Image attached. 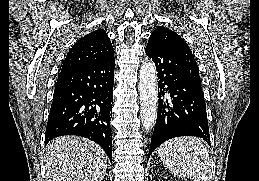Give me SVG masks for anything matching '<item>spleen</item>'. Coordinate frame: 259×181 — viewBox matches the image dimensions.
<instances>
[{"label":"spleen","mask_w":259,"mask_h":181,"mask_svg":"<svg viewBox=\"0 0 259 181\" xmlns=\"http://www.w3.org/2000/svg\"><path fill=\"white\" fill-rule=\"evenodd\" d=\"M165 167L178 177L192 181H212L211 161L207 148L196 137H178L159 147Z\"/></svg>","instance_id":"1"}]
</instances>
